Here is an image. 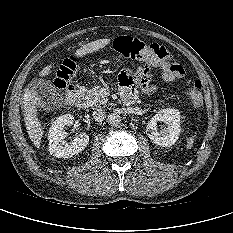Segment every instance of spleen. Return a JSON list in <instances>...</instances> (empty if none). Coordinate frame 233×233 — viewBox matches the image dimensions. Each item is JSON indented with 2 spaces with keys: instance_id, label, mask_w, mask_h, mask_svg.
<instances>
[{
  "instance_id": "1",
  "label": "spleen",
  "mask_w": 233,
  "mask_h": 233,
  "mask_svg": "<svg viewBox=\"0 0 233 233\" xmlns=\"http://www.w3.org/2000/svg\"><path fill=\"white\" fill-rule=\"evenodd\" d=\"M195 142V136H191L190 138L187 139V143H186V148L187 149H191V147L193 146Z\"/></svg>"
}]
</instances>
